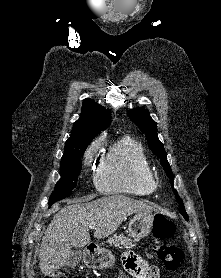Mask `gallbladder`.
<instances>
[{"label": "gallbladder", "mask_w": 221, "mask_h": 278, "mask_svg": "<svg viewBox=\"0 0 221 278\" xmlns=\"http://www.w3.org/2000/svg\"><path fill=\"white\" fill-rule=\"evenodd\" d=\"M82 259V250L76 249L72 251L69 259L66 261V265L69 267H75L80 263Z\"/></svg>", "instance_id": "obj_1"}]
</instances>
